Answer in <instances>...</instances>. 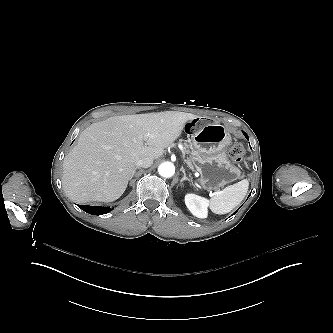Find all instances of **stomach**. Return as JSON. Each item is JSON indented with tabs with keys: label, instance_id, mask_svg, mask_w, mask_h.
I'll list each match as a JSON object with an SVG mask.
<instances>
[{
	"label": "stomach",
	"instance_id": "1",
	"mask_svg": "<svg viewBox=\"0 0 333 333\" xmlns=\"http://www.w3.org/2000/svg\"><path fill=\"white\" fill-rule=\"evenodd\" d=\"M231 139L225 129L202 118L201 128L191 133L188 161L199 172L193 185L199 190H216L238 180L242 171L229 158Z\"/></svg>",
	"mask_w": 333,
	"mask_h": 333
}]
</instances>
